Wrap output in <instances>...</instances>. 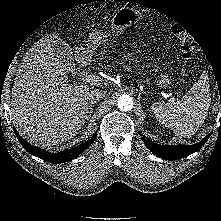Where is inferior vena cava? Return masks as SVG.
Segmentation results:
<instances>
[{"mask_svg":"<svg viewBox=\"0 0 221 221\" xmlns=\"http://www.w3.org/2000/svg\"><path fill=\"white\" fill-rule=\"evenodd\" d=\"M106 95V92L101 90V89H92L90 92H89V97L91 100H94V101H99L101 99H103Z\"/></svg>","mask_w":221,"mask_h":221,"instance_id":"obj_1","label":"inferior vena cava"}]
</instances>
